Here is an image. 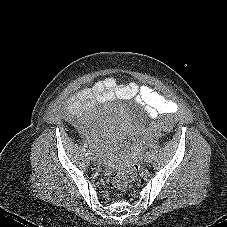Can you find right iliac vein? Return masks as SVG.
<instances>
[{"mask_svg":"<svg viewBox=\"0 0 227 227\" xmlns=\"http://www.w3.org/2000/svg\"><path fill=\"white\" fill-rule=\"evenodd\" d=\"M88 152H89V158H90V160L91 161H96L95 156L90 151H88Z\"/></svg>","mask_w":227,"mask_h":227,"instance_id":"63e3f726","label":"right iliac vein"}]
</instances>
